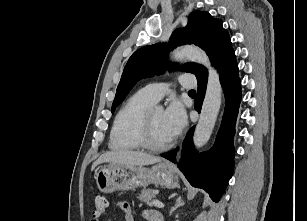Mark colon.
Masks as SVG:
<instances>
[{
  "instance_id": "1",
  "label": "colon",
  "mask_w": 307,
  "mask_h": 221,
  "mask_svg": "<svg viewBox=\"0 0 307 221\" xmlns=\"http://www.w3.org/2000/svg\"><path fill=\"white\" fill-rule=\"evenodd\" d=\"M108 208V200L104 195H98L94 201V215L97 217L105 214Z\"/></svg>"
}]
</instances>
